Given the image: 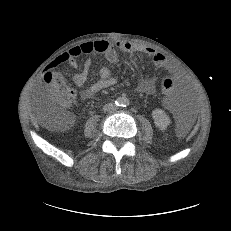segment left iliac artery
<instances>
[{"instance_id":"44dca946","label":"left iliac artery","mask_w":231,"mask_h":231,"mask_svg":"<svg viewBox=\"0 0 231 231\" xmlns=\"http://www.w3.org/2000/svg\"><path fill=\"white\" fill-rule=\"evenodd\" d=\"M126 105H128V103H127V102L125 103V106H126Z\"/></svg>"}]
</instances>
